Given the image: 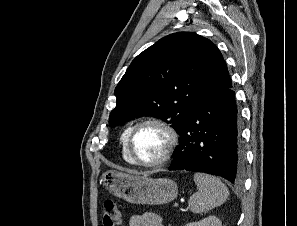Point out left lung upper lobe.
Segmentation results:
<instances>
[{
	"label": "left lung upper lobe",
	"instance_id": "left-lung-upper-lobe-1",
	"mask_svg": "<svg viewBox=\"0 0 297 226\" xmlns=\"http://www.w3.org/2000/svg\"><path fill=\"white\" fill-rule=\"evenodd\" d=\"M232 87L218 48L192 32L168 35L139 54L115 89L114 127L141 116L159 118L179 132L201 97Z\"/></svg>",
	"mask_w": 297,
	"mask_h": 226
}]
</instances>
